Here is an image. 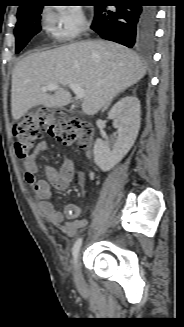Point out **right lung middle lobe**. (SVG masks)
<instances>
[{
	"instance_id": "1",
	"label": "right lung middle lobe",
	"mask_w": 184,
	"mask_h": 327,
	"mask_svg": "<svg viewBox=\"0 0 184 327\" xmlns=\"http://www.w3.org/2000/svg\"><path fill=\"white\" fill-rule=\"evenodd\" d=\"M43 6L37 4L33 7L17 12V24L15 26L16 53H19L29 40L40 30V14Z\"/></svg>"
}]
</instances>
